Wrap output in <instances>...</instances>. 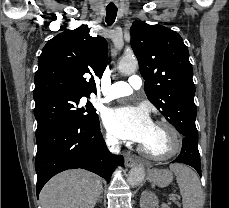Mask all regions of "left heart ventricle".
<instances>
[{"label":"left heart ventricle","mask_w":229,"mask_h":208,"mask_svg":"<svg viewBox=\"0 0 229 208\" xmlns=\"http://www.w3.org/2000/svg\"><path fill=\"white\" fill-rule=\"evenodd\" d=\"M166 130L169 129L153 125L148 137L142 142V145L150 152L157 154V156L174 151L176 147H170V143L167 141L169 135H166Z\"/></svg>","instance_id":"obj_1"}]
</instances>
